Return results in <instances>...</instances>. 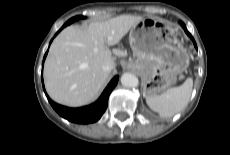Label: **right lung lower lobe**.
Masks as SVG:
<instances>
[{"mask_svg": "<svg viewBox=\"0 0 230 155\" xmlns=\"http://www.w3.org/2000/svg\"><path fill=\"white\" fill-rule=\"evenodd\" d=\"M67 25H63L61 29L66 27ZM61 29L56 33V35L61 31ZM51 43V42H50ZM48 51L46 52L44 56V60L46 58ZM43 60V63H44ZM118 82V76H115L111 82L108 84L100 98L93 104L81 108H68L61 106L59 104H56L53 102L47 95L44 84H43V76H42V84H43V89L44 92L47 96L48 101L52 105V107L55 109V111L62 116L63 118L75 122V123H81V124H86V123H93L98 121L102 114L105 112L107 105H108V98L111 93V91L114 89Z\"/></svg>", "mask_w": 230, "mask_h": 155, "instance_id": "98d812e1", "label": "right lung lower lobe"}]
</instances>
